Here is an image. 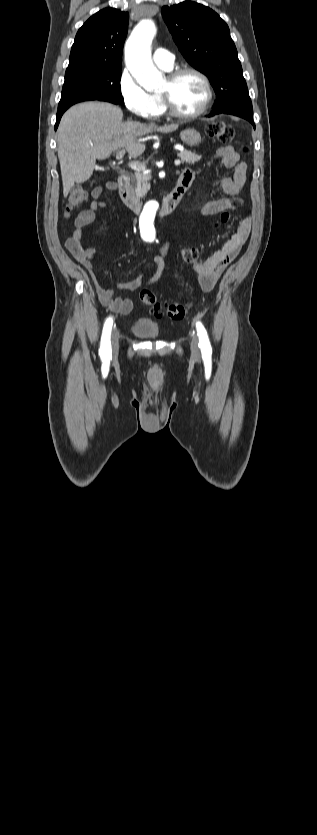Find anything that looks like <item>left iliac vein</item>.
Segmentation results:
<instances>
[{
  "mask_svg": "<svg viewBox=\"0 0 317 835\" xmlns=\"http://www.w3.org/2000/svg\"><path fill=\"white\" fill-rule=\"evenodd\" d=\"M191 352L195 358H198L200 356L199 342L198 338L195 335L192 336L191 340Z\"/></svg>",
  "mask_w": 317,
  "mask_h": 835,
  "instance_id": "4c4485c4",
  "label": "left iliac vein"
}]
</instances>
